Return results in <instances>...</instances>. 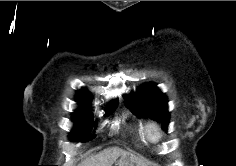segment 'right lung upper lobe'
I'll list each match as a JSON object with an SVG mask.
<instances>
[{
	"instance_id": "cb5924a9",
	"label": "right lung upper lobe",
	"mask_w": 236,
	"mask_h": 166,
	"mask_svg": "<svg viewBox=\"0 0 236 166\" xmlns=\"http://www.w3.org/2000/svg\"><path fill=\"white\" fill-rule=\"evenodd\" d=\"M77 98H78L77 102H79L81 104L82 109H87L89 107L90 101H91V96L87 90H84V89L79 90ZM117 104H118L117 99L110 101L108 103L107 108L112 107Z\"/></svg>"
}]
</instances>
